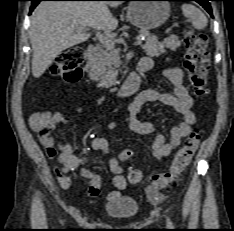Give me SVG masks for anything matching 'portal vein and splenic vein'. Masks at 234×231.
Wrapping results in <instances>:
<instances>
[{
  "label": "portal vein and splenic vein",
  "mask_w": 234,
  "mask_h": 231,
  "mask_svg": "<svg viewBox=\"0 0 234 231\" xmlns=\"http://www.w3.org/2000/svg\"><path fill=\"white\" fill-rule=\"evenodd\" d=\"M96 37L98 38V40L100 41V43L102 45H104L106 48H114V43L111 40L110 36L105 35V34H101V33H97ZM141 44H142L141 40H136L135 43H134L135 46H139Z\"/></svg>",
  "instance_id": "portal-vein-and-splenic-vein-1"
}]
</instances>
